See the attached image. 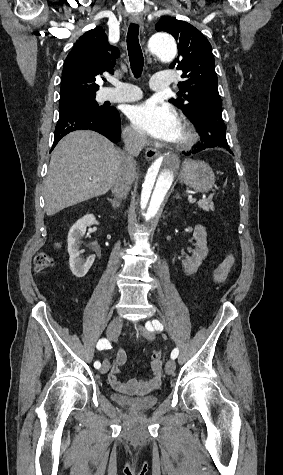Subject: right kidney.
Instances as JSON below:
<instances>
[{
    "label": "right kidney",
    "instance_id": "1",
    "mask_svg": "<svg viewBox=\"0 0 283 475\" xmlns=\"http://www.w3.org/2000/svg\"><path fill=\"white\" fill-rule=\"evenodd\" d=\"M93 224H99L93 214H86L80 220H77L76 224H73L68 232V253L69 265L72 273L76 277H84L87 271H89L95 257H88V259H82L80 257L81 251H79L78 239L84 236L87 226H93Z\"/></svg>",
    "mask_w": 283,
    "mask_h": 475
}]
</instances>
